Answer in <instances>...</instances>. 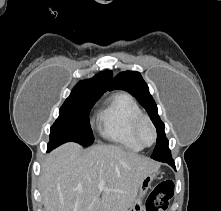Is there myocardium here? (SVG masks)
Instances as JSON below:
<instances>
[{
	"label": "myocardium",
	"instance_id": "f54148a6",
	"mask_svg": "<svg viewBox=\"0 0 221 211\" xmlns=\"http://www.w3.org/2000/svg\"><path fill=\"white\" fill-rule=\"evenodd\" d=\"M144 125H148L152 132H153V141L150 144H147L144 142L143 138H142V128ZM133 133L134 136L136 138V140L143 146V147H150L153 144L156 143L157 141V137H158V133H157V128L154 124V122L151 120V118L149 116H147L146 114H140L134 121L133 124Z\"/></svg>",
	"mask_w": 221,
	"mask_h": 211
}]
</instances>
